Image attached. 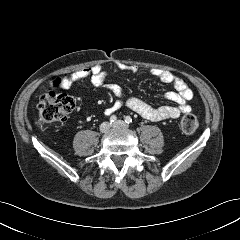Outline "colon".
<instances>
[{
	"label": "colon",
	"mask_w": 240,
	"mask_h": 240,
	"mask_svg": "<svg viewBox=\"0 0 240 240\" xmlns=\"http://www.w3.org/2000/svg\"><path fill=\"white\" fill-rule=\"evenodd\" d=\"M71 84L68 76L56 79L53 86L56 89L67 88ZM37 126L45 129L48 126L63 122L74 108V100L66 93L51 91L44 94L38 103ZM180 127L184 133H194L198 128V120L192 114L182 117Z\"/></svg>",
	"instance_id": "obj_1"
}]
</instances>
